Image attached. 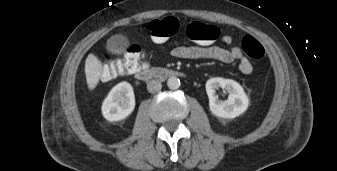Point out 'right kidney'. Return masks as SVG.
Segmentation results:
<instances>
[{
	"instance_id": "obj_1",
	"label": "right kidney",
	"mask_w": 337,
	"mask_h": 171,
	"mask_svg": "<svg viewBox=\"0 0 337 171\" xmlns=\"http://www.w3.org/2000/svg\"><path fill=\"white\" fill-rule=\"evenodd\" d=\"M135 108L134 91L130 83L120 82L114 86L102 103V114L108 121L128 117Z\"/></svg>"
}]
</instances>
